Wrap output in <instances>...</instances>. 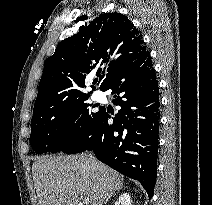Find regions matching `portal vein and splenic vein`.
Returning a JSON list of instances; mask_svg holds the SVG:
<instances>
[{
    "mask_svg": "<svg viewBox=\"0 0 212 205\" xmlns=\"http://www.w3.org/2000/svg\"><path fill=\"white\" fill-rule=\"evenodd\" d=\"M80 200H83V204H85V205L89 204V199L88 198L82 199V197H81Z\"/></svg>",
    "mask_w": 212,
    "mask_h": 205,
    "instance_id": "obj_1",
    "label": "portal vein and splenic vein"
}]
</instances>
